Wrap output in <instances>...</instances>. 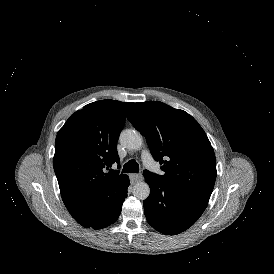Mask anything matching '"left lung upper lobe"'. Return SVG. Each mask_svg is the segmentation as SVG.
<instances>
[{
	"instance_id": "5c2ea615",
	"label": "left lung upper lobe",
	"mask_w": 274,
	"mask_h": 274,
	"mask_svg": "<svg viewBox=\"0 0 274 274\" xmlns=\"http://www.w3.org/2000/svg\"><path fill=\"white\" fill-rule=\"evenodd\" d=\"M128 120L145 136L164 175L151 176L185 193L210 198L216 180L211 143L199 123L183 110L159 101L134 103Z\"/></svg>"
}]
</instances>
